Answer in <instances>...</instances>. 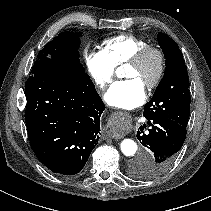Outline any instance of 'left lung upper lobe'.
Instances as JSON below:
<instances>
[{
    "mask_svg": "<svg viewBox=\"0 0 211 211\" xmlns=\"http://www.w3.org/2000/svg\"><path fill=\"white\" fill-rule=\"evenodd\" d=\"M158 43L166 63L164 77L151 100L144 106L146 119L169 118L187 127L190 114V92L187 67L177 43L166 34H158ZM133 175L136 170L130 167Z\"/></svg>",
    "mask_w": 211,
    "mask_h": 211,
    "instance_id": "1",
    "label": "left lung upper lobe"
}]
</instances>
